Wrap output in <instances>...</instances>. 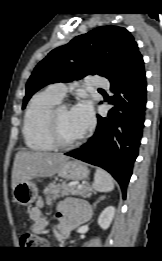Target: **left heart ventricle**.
Here are the masks:
<instances>
[{
    "label": "left heart ventricle",
    "instance_id": "1",
    "mask_svg": "<svg viewBox=\"0 0 162 261\" xmlns=\"http://www.w3.org/2000/svg\"><path fill=\"white\" fill-rule=\"evenodd\" d=\"M57 124L60 137L67 142H71L79 138L82 133L74 122L71 111L62 109L57 117Z\"/></svg>",
    "mask_w": 162,
    "mask_h": 261
}]
</instances>
